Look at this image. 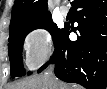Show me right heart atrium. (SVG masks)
<instances>
[{
    "label": "right heart atrium",
    "mask_w": 107,
    "mask_h": 89,
    "mask_svg": "<svg viewBox=\"0 0 107 89\" xmlns=\"http://www.w3.org/2000/svg\"><path fill=\"white\" fill-rule=\"evenodd\" d=\"M23 48L26 65L30 69H37L51 56L54 48L53 37L46 28L37 27L27 33Z\"/></svg>",
    "instance_id": "right-heart-atrium-1"
}]
</instances>
